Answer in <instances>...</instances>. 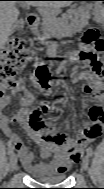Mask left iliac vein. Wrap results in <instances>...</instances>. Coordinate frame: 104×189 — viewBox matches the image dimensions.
<instances>
[{
  "label": "left iliac vein",
  "instance_id": "4c4485c4",
  "mask_svg": "<svg viewBox=\"0 0 104 189\" xmlns=\"http://www.w3.org/2000/svg\"><path fill=\"white\" fill-rule=\"evenodd\" d=\"M89 166V158L88 156H84L82 159V170L86 171L88 169Z\"/></svg>",
  "mask_w": 104,
  "mask_h": 189
}]
</instances>
